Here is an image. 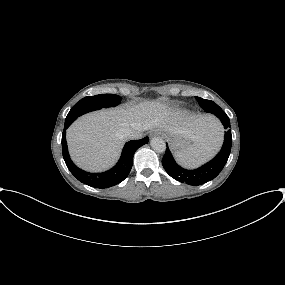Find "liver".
Returning <instances> with one entry per match:
<instances>
[{
  "label": "liver",
  "mask_w": 285,
  "mask_h": 285,
  "mask_svg": "<svg viewBox=\"0 0 285 285\" xmlns=\"http://www.w3.org/2000/svg\"><path fill=\"white\" fill-rule=\"evenodd\" d=\"M160 129L183 136L194 143L212 139L220 130L212 116L197 115L186 119L172 116L170 109L157 101H145L115 109L86 114L67 129L72 160L82 169L99 172L113 166L126 141L127 129Z\"/></svg>",
  "instance_id": "6515ba94"
}]
</instances>
